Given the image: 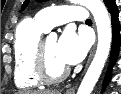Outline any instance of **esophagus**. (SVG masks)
<instances>
[{
    "instance_id": "34e87169",
    "label": "esophagus",
    "mask_w": 121,
    "mask_h": 94,
    "mask_svg": "<svg viewBox=\"0 0 121 94\" xmlns=\"http://www.w3.org/2000/svg\"><path fill=\"white\" fill-rule=\"evenodd\" d=\"M94 55V50L92 51V53L90 54L89 56V59H88V62H87V66L89 65L92 57ZM75 89H76V86H73V87H69L66 91H65V94H75Z\"/></svg>"
}]
</instances>
